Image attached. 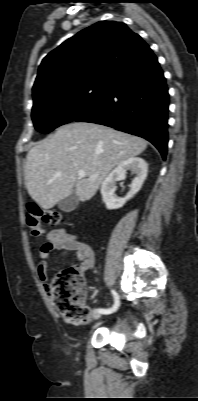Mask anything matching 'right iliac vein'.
Listing matches in <instances>:
<instances>
[{"label":"right iliac vein","mask_w":198,"mask_h":401,"mask_svg":"<svg viewBox=\"0 0 198 401\" xmlns=\"http://www.w3.org/2000/svg\"><path fill=\"white\" fill-rule=\"evenodd\" d=\"M100 316H101V312H99V311L94 312L93 315H92V317L94 319H98Z\"/></svg>","instance_id":"1"}]
</instances>
